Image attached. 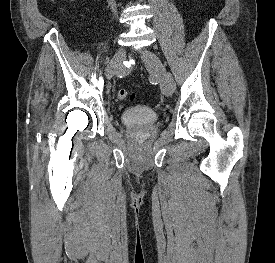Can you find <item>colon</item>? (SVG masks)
Wrapping results in <instances>:
<instances>
[{
  "mask_svg": "<svg viewBox=\"0 0 275 263\" xmlns=\"http://www.w3.org/2000/svg\"><path fill=\"white\" fill-rule=\"evenodd\" d=\"M117 96L120 100H128V99H132L133 95H131L127 90L125 89H120L117 92Z\"/></svg>",
  "mask_w": 275,
  "mask_h": 263,
  "instance_id": "5ec220e1",
  "label": "colon"
}]
</instances>
